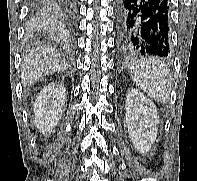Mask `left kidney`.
<instances>
[{"mask_svg":"<svg viewBox=\"0 0 197 181\" xmlns=\"http://www.w3.org/2000/svg\"><path fill=\"white\" fill-rule=\"evenodd\" d=\"M125 119L129 137L140 153L150 150L157 137L159 116L156 106L137 90H129L126 96Z\"/></svg>","mask_w":197,"mask_h":181,"instance_id":"obj_1","label":"left kidney"}]
</instances>
